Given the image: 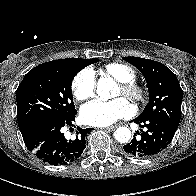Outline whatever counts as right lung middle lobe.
<instances>
[{
  "label": "right lung middle lobe",
  "instance_id": "obj_1",
  "mask_svg": "<svg viewBox=\"0 0 196 196\" xmlns=\"http://www.w3.org/2000/svg\"><path fill=\"white\" fill-rule=\"evenodd\" d=\"M81 69L76 63L59 59L30 70L16 91L19 128L39 120H62L76 114L71 84Z\"/></svg>",
  "mask_w": 196,
  "mask_h": 196
}]
</instances>
